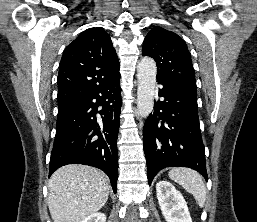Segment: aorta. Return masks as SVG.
I'll return each instance as SVG.
<instances>
[{"label": "aorta", "instance_id": "obj_1", "mask_svg": "<svg viewBox=\"0 0 257 222\" xmlns=\"http://www.w3.org/2000/svg\"><path fill=\"white\" fill-rule=\"evenodd\" d=\"M156 74L155 61L150 57H143L137 65V113L142 118L148 117L153 109Z\"/></svg>", "mask_w": 257, "mask_h": 222}]
</instances>
